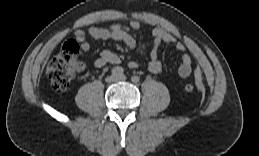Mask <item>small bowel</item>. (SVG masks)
<instances>
[{
  "label": "small bowel",
  "instance_id": "1",
  "mask_svg": "<svg viewBox=\"0 0 259 156\" xmlns=\"http://www.w3.org/2000/svg\"><path fill=\"white\" fill-rule=\"evenodd\" d=\"M140 23L137 20H131L127 24H112L108 27H96L91 26L87 32L83 30H76L74 32V41L79 43L80 48L83 51L90 49V43L87 40V36L94 39H113L122 41L129 50L136 48L137 42L132 35V32L137 31L140 28ZM152 38V49L150 51V61L148 62L147 69L154 74L160 73L163 69L162 62L158 57V47L161 44L175 43L176 49L183 52L185 45L182 42H176L175 37L163 28H154L150 34ZM120 56L111 50H104L99 57L95 60V66L100 68L107 64L120 63ZM128 65L130 68H137L139 63L130 59ZM192 72V58L188 54H183L181 57V64L178 69V73L181 77H188Z\"/></svg>",
  "mask_w": 259,
  "mask_h": 156
}]
</instances>
